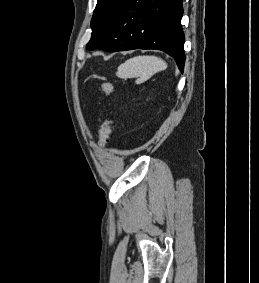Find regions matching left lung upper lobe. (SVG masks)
Listing matches in <instances>:
<instances>
[{"instance_id":"obj_1","label":"left lung upper lobe","mask_w":259,"mask_h":283,"mask_svg":"<svg viewBox=\"0 0 259 283\" xmlns=\"http://www.w3.org/2000/svg\"><path fill=\"white\" fill-rule=\"evenodd\" d=\"M125 0H98L91 20L92 36L86 47L98 42L114 20Z\"/></svg>"}]
</instances>
